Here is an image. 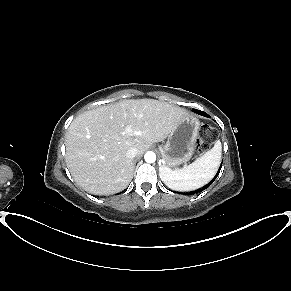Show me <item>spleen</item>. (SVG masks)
<instances>
[{
    "instance_id": "spleen-1",
    "label": "spleen",
    "mask_w": 291,
    "mask_h": 291,
    "mask_svg": "<svg viewBox=\"0 0 291 291\" xmlns=\"http://www.w3.org/2000/svg\"><path fill=\"white\" fill-rule=\"evenodd\" d=\"M221 159V143L188 166L171 170L166 166L159 167L161 180L176 191H191L207 184L216 174Z\"/></svg>"
}]
</instances>
